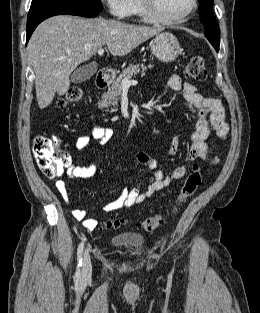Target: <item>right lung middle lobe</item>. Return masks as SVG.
Returning <instances> with one entry per match:
<instances>
[{
  "mask_svg": "<svg viewBox=\"0 0 260 313\" xmlns=\"http://www.w3.org/2000/svg\"><path fill=\"white\" fill-rule=\"evenodd\" d=\"M40 5L75 6L96 11L103 10L100 0H32L31 7Z\"/></svg>",
  "mask_w": 260,
  "mask_h": 313,
  "instance_id": "dd1d6c3e",
  "label": "right lung middle lobe"
}]
</instances>
